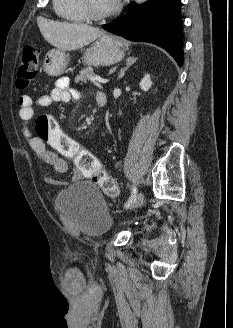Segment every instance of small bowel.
Here are the masks:
<instances>
[{
    "mask_svg": "<svg viewBox=\"0 0 233 328\" xmlns=\"http://www.w3.org/2000/svg\"><path fill=\"white\" fill-rule=\"evenodd\" d=\"M79 93L69 87L66 79H60L55 83L50 93L32 99L30 96L23 95L18 98L19 118L23 135L28 139L30 147L42 162L50 165L55 172L65 173L68 170V164L64 158L57 153L49 150L46 144L39 138L33 136L29 122L34 115V107H47L56 102H67L71 98H78ZM82 173L75 169V178H80ZM44 181L50 185H63L65 182L58 181L50 176H44ZM66 288L69 293L79 294L83 292L86 281L77 268H70L65 275Z\"/></svg>",
    "mask_w": 233,
    "mask_h": 328,
    "instance_id": "c3829d8e",
    "label": "small bowel"
}]
</instances>
